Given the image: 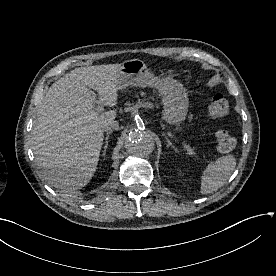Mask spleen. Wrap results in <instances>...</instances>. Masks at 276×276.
<instances>
[{
  "mask_svg": "<svg viewBox=\"0 0 276 276\" xmlns=\"http://www.w3.org/2000/svg\"><path fill=\"white\" fill-rule=\"evenodd\" d=\"M236 167L233 155H226L210 163L203 172L201 180V193L209 194L217 191L229 179Z\"/></svg>",
  "mask_w": 276,
  "mask_h": 276,
  "instance_id": "1",
  "label": "spleen"
}]
</instances>
